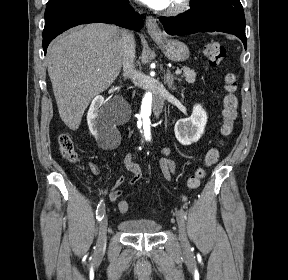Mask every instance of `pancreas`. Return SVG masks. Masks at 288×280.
I'll use <instances>...</instances> for the list:
<instances>
[{
  "instance_id": "pancreas-1",
  "label": "pancreas",
  "mask_w": 288,
  "mask_h": 280,
  "mask_svg": "<svg viewBox=\"0 0 288 280\" xmlns=\"http://www.w3.org/2000/svg\"><path fill=\"white\" fill-rule=\"evenodd\" d=\"M183 77L188 83H194L196 80V73L194 70L188 68V67H183Z\"/></svg>"
}]
</instances>
